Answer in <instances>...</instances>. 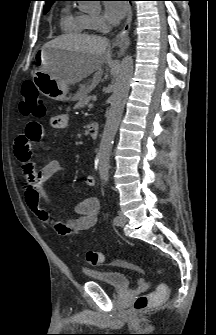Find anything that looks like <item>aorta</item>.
<instances>
[{"mask_svg":"<svg viewBox=\"0 0 216 335\" xmlns=\"http://www.w3.org/2000/svg\"><path fill=\"white\" fill-rule=\"evenodd\" d=\"M133 70V59L131 56L127 55L123 58L115 75L113 93L110 97V108L99 147V174L103 183H107L109 179L110 156L113 140L117 133L129 94Z\"/></svg>","mask_w":216,"mask_h":335,"instance_id":"1","label":"aorta"}]
</instances>
